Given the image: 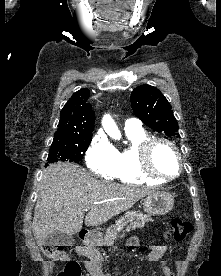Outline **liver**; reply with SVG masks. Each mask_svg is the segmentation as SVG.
Returning a JSON list of instances; mask_svg holds the SVG:
<instances>
[{
  "label": "liver",
  "instance_id": "obj_1",
  "mask_svg": "<svg viewBox=\"0 0 221 276\" xmlns=\"http://www.w3.org/2000/svg\"><path fill=\"white\" fill-rule=\"evenodd\" d=\"M152 192L98 180L72 163L50 165L42 174L32 224L37 245H44L54 231L78 233L86 209V225L96 226L130 209Z\"/></svg>",
  "mask_w": 221,
  "mask_h": 276
}]
</instances>
